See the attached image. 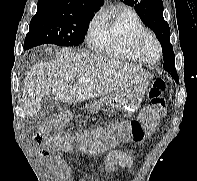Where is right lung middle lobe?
<instances>
[{
    "mask_svg": "<svg viewBox=\"0 0 197 181\" xmlns=\"http://www.w3.org/2000/svg\"><path fill=\"white\" fill-rule=\"evenodd\" d=\"M94 13L64 15L37 11L31 19L24 47L51 43L58 46H79L83 43Z\"/></svg>",
    "mask_w": 197,
    "mask_h": 181,
    "instance_id": "1",
    "label": "right lung middle lobe"
}]
</instances>
